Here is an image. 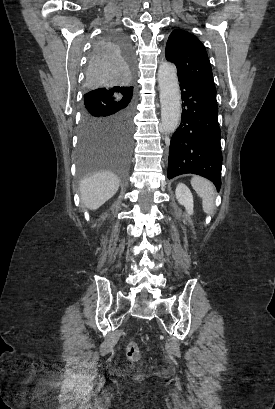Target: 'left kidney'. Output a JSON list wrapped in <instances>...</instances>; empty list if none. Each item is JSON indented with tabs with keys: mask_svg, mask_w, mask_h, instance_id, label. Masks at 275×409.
<instances>
[{
	"mask_svg": "<svg viewBox=\"0 0 275 409\" xmlns=\"http://www.w3.org/2000/svg\"><path fill=\"white\" fill-rule=\"evenodd\" d=\"M176 198H178V202H180V205H184L187 213L189 215H192L193 213V196L191 190H189L188 186L186 184H183V182H179L176 186Z\"/></svg>",
	"mask_w": 275,
	"mask_h": 409,
	"instance_id": "left-kidney-1",
	"label": "left kidney"
}]
</instances>
